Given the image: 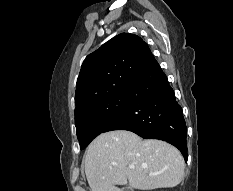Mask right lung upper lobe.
I'll return each mask as SVG.
<instances>
[{
  "mask_svg": "<svg viewBox=\"0 0 233 191\" xmlns=\"http://www.w3.org/2000/svg\"><path fill=\"white\" fill-rule=\"evenodd\" d=\"M153 57L137 35L121 33L84 60L76 83L75 113L108 97L128 93Z\"/></svg>",
  "mask_w": 233,
  "mask_h": 191,
  "instance_id": "1",
  "label": "right lung upper lobe"
}]
</instances>
